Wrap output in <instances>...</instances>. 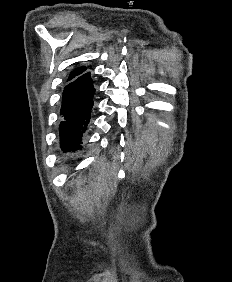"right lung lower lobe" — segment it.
I'll use <instances>...</instances> for the list:
<instances>
[{
  "label": "right lung lower lobe",
  "instance_id": "right-lung-lower-lobe-1",
  "mask_svg": "<svg viewBox=\"0 0 232 282\" xmlns=\"http://www.w3.org/2000/svg\"><path fill=\"white\" fill-rule=\"evenodd\" d=\"M68 81L63 90L60 109V145L64 152H75L82 148L91 118L95 89L89 72Z\"/></svg>",
  "mask_w": 232,
  "mask_h": 282
}]
</instances>
